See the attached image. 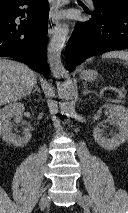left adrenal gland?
<instances>
[{
  "instance_id": "left-adrenal-gland-1",
  "label": "left adrenal gland",
  "mask_w": 128,
  "mask_h": 213,
  "mask_svg": "<svg viewBox=\"0 0 128 213\" xmlns=\"http://www.w3.org/2000/svg\"><path fill=\"white\" fill-rule=\"evenodd\" d=\"M83 87H84L83 95H87V94H89V93H92V91H89V90L87 89V86H86V85H84Z\"/></svg>"
}]
</instances>
